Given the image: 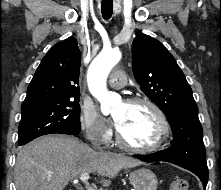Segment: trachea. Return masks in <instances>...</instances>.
<instances>
[{"instance_id":"1","label":"trachea","mask_w":221,"mask_h":190,"mask_svg":"<svg viewBox=\"0 0 221 190\" xmlns=\"http://www.w3.org/2000/svg\"><path fill=\"white\" fill-rule=\"evenodd\" d=\"M101 12L105 20L110 19L113 13V2L111 0L102 1Z\"/></svg>"}]
</instances>
